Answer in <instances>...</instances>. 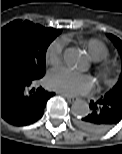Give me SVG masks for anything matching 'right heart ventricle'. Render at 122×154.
<instances>
[{
  "label": "right heart ventricle",
  "mask_w": 122,
  "mask_h": 154,
  "mask_svg": "<svg viewBox=\"0 0 122 154\" xmlns=\"http://www.w3.org/2000/svg\"><path fill=\"white\" fill-rule=\"evenodd\" d=\"M65 40H69V37H65ZM81 44L87 49L91 60L94 62L105 60L109 55L107 46L99 40H83Z\"/></svg>",
  "instance_id": "obj_1"
}]
</instances>
